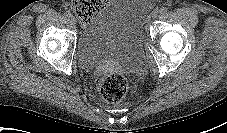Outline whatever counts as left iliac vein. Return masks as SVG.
Listing matches in <instances>:
<instances>
[{"label":"left iliac vein","mask_w":227,"mask_h":133,"mask_svg":"<svg viewBox=\"0 0 227 133\" xmlns=\"http://www.w3.org/2000/svg\"><path fill=\"white\" fill-rule=\"evenodd\" d=\"M158 14H159V11H158V10H154V11L152 12V14H151V17H152L153 19H155V18L158 17Z\"/></svg>","instance_id":"1"}]
</instances>
